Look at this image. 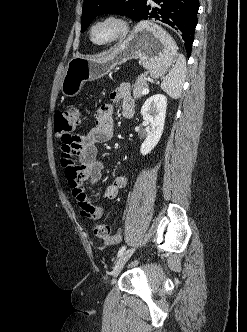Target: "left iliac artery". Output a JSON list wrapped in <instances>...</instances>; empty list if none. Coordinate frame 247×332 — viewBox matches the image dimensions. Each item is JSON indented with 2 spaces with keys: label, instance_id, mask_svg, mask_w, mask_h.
Segmentation results:
<instances>
[{
  "label": "left iliac artery",
  "instance_id": "44dca946",
  "mask_svg": "<svg viewBox=\"0 0 247 332\" xmlns=\"http://www.w3.org/2000/svg\"><path fill=\"white\" fill-rule=\"evenodd\" d=\"M125 249H126V246L125 245L122 246L118 251L117 257H119L125 251Z\"/></svg>",
  "mask_w": 247,
  "mask_h": 332
}]
</instances>
